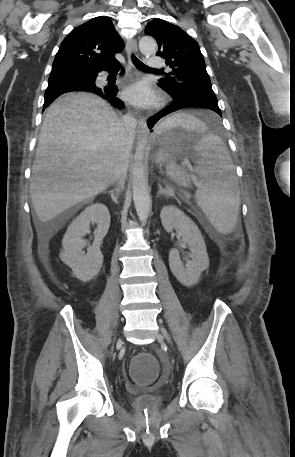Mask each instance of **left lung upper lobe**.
Here are the masks:
<instances>
[{
	"label": "left lung upper lobe",
	"instance_id": "5c2ea615",
	"mask_svg": "<svg viewBox=\"0 0 295 457\" xmlns=\"http://www.w3.org/2000/svg\"><path fill=\"white\" fill-rule=\"evenodd\" d=\"M145 34L156 39L159 48L156 55L172 68L158 84L162 89L176 99L214 95L199 44L193 38L180 27L159 18L147 24Z\"/></svg>",
	"mask_w": 295,
	"mask_h": 457
}]
</instances>
